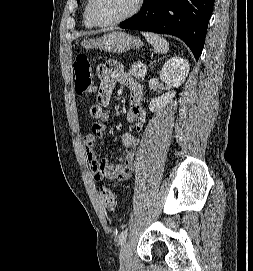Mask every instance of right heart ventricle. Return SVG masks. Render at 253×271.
I'll list each match as a JSON object with an SVG mask.
<instances>
[{"label":"right heart ventricle","mask_w":253,"mask_h":271,"mask_svg":"<svg viewBox=\"0 0 253 271\" xmlns=\"http://www.w3.org/2000/svg\"><path fill=\"white\" fill-rule=\"evenodd\" d=\"M88 5H89V0H86L84 9H83V23L86 28H94L95 24L92 22L89 12H88Z\"/></svg>","instance_id":"1"}]
</instances>
